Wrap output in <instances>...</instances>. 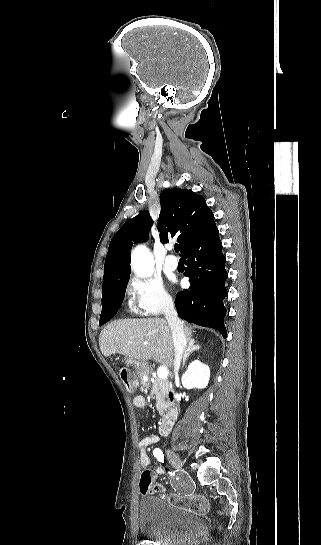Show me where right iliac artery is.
Listing matches in <instances>:
<instances>
[{
    "mask_svg": "<svg viewBox=\"0 0 321 545\" xmlns=\"http://www.w3.org/2000/svg\"><path fill=\"white\" fill-rule=\"evenodd\" d=\"M153 454L158 459V461L163 462L164 454L161 449L159 448L154 449Z\"/></svg>",
    "mask_w": 321,
    "mask_h": 545,
    "instance_id": "right-iliac-artery-1",
    "label": "right iliac artery"
}]
</instances>
